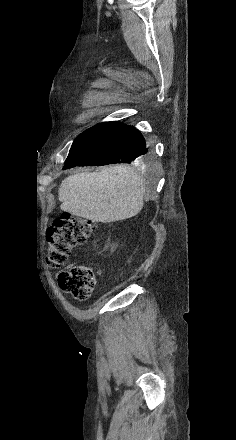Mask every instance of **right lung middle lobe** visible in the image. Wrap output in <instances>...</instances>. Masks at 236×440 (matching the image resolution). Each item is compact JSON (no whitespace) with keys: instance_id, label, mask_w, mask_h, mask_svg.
Segmentation results:
<instances>
[{"instance_id":"obj_1","label":"right lung middle lobe","mask_w":236,"mask_h":440,"mask_svg":"<svg viewBox=\"0 0 236 440\" xmlns=\"http://www.w3.org/2000/svg\"><path fill=\"white\" fill-rule=\"evenodd\" d=\"M147 161H149V157H147V156H145V157H143L141 160H139V163H145V162H147Z\"/></svg>"}]
</instances>
